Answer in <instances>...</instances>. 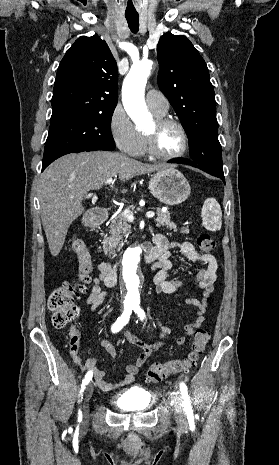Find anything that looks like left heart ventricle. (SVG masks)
I'll return each mask as SVG.
<instances>
[{"mask_svg": "<svg viewBox=\"0 0 279 465\" xmlns=\"http://www.w3.org/2000/svg\"><path fill=\"white\" fill-rule=\"evenodd\" d=\"M154 123L147 129L151 131ZM157 148L165 154H172L180 150L182 146V137L179 129L174 125H168L160 129L157 133Z\"/></svg>", "mask_w": 279, "mask_h": 465, "instance_id": "left-heart-ventricle-1", "label": "left heart ventricle"}]
</instances>
